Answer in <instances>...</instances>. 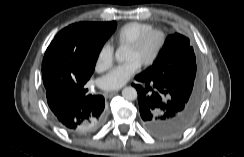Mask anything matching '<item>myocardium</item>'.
I'll return each mask as SVG.
<instances>
[{
    "instance_id": "myocardium-1",
    "label": "myocardium",
    "mask_w": 244,
    "mask_h": 157,
    "mask_svg": "<svg viewBox=\"0 0 244 157\" xmlns=\"http://www.w3.org/2000/svg\"><path fill=\"white\" fill-rule=\"evenodd\" d=\"M153 35L159 36L160 41L153 55L141 64L143 67H149L159 59L168 41L167 33L162 29L153 28L151 30L142 33L140 36H138L133 42H131L128 45V48L136 50L140 48L146 42V40Z\"/></svg>"
}]
</instances>
